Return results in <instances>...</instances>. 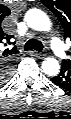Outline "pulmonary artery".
Masks as SVG:
<instances>
[{"mask_svg":"<svg viewBox=\"0 0 71 119\" xmlns=\"http://www.w3.org/2000/svg\"><path fill=\"white\" fill-rule=\"evenodd\" d=\"M52 48L59 57L65 56L63 46L58 39L52 40Z\"/></svg>","mask_w":71,"mask_h":119,"instance_id":"1","label":"pulmonary artery"}]
</instances>
